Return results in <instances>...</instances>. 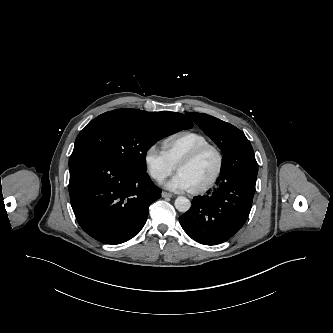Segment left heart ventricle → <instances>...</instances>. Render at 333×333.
<instances>
[{
	"label": "left heart ventricle",
	"mask_w": 333,
	"mask_h": 333,
	"mask_svg": "<svg viewBox=\"0 0 333 333\" xmlns=\"http://www.w3.org/2000/svg\"><path fill=\"white\" fill-rule=\"evenodd\" d=\"M217 167V157L213 151H207L194 162L179 169L190 182L192 189L204 185L214 174Z\"/></svg>",
	"instance_id": "left-heart-ventricle-1"
}]
</instances>
